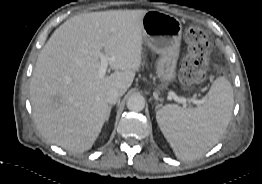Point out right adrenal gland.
Listing matches in <instances>:
<instances>
[{
  "label": "right adrenal gland",
  "mask_w": 262,
  "mask_h": 184,
  "mask_svg": "<svg viewBox=\"0 0 262 184\" xmlns=\"http://www.w3.org/2000/svg\"><path fill=\"white\" fill-rule=\"evenodd\" d=\"M111 108H112V106L109 107V113H110V111H111ZM107 120H108V118H107Z\"/></svg>",
  "instance_id": "1"
}]
</instances>
